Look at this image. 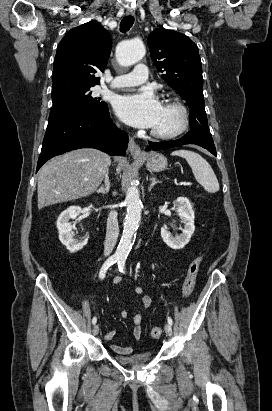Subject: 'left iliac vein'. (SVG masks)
Segmentation results:
<instances>
[{
	"instance_id": "1",
	"label": "left iliac vein",
	"mask_w": 272,
	"mask_h": 411,
	"mask_svg": "<svg viewBox=\"0 0 272 411\" xmlns=\"http://www.w3.org/2000/svg\"><path fill=\"white\" fill-rule=\"evenodd\" d=\"M164 329L168 336L172 335V326L169 323L165 324Z\"/></svg>"
}]
</instances>
